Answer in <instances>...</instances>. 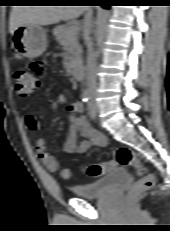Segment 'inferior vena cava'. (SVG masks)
<instances>
[{
    "mask_svg": "<svg viewBox=\"0 0 170 231\" xmlns=\"http://www.w3.org/2000/svg\"><path fill=\"white\" fill-rule=\"evenodd\" d=\"M92 9L90 7L85 8L84 27H85V44L87 46V86L90 93H94L96 90V51L94 44L89 38V33L92 28Z\"/></svg>",
    "mask_w": 170,
    "mask_h": 231,
    "instance_id": "obj_1",
    "label": "inferior vena cava"
}]
</instances>
